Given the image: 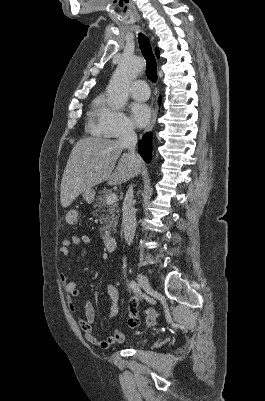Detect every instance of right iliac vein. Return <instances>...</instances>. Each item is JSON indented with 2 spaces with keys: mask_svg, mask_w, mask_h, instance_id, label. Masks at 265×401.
I'll use <instances>...</instances> for the list:
<instances>
[{
  "mask_svg": "<svg viewBox=\"0 0 265 401\" xmlns=\"http://www.w3.org/2000/svg\"><path fill=\"white\" fill-rule=\"evenodd\" d=\"M137 279H138V282H139L140 286L143 288V290L147 294L152 292L151 284L149 283V281H148V279H147V277L145 275H143L141 273H138L137 274Z\"/></svg>",
  "mask_w": 265,
  "mask_h": 401,
  "instance_id": "right-iliac-vein-1",
  "label": "right iliac vein"
}]
</instances>
